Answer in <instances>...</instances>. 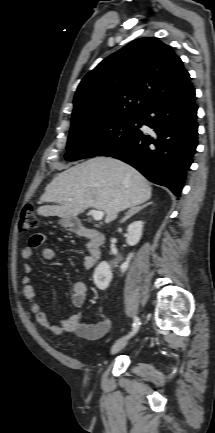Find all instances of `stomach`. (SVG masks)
<instances>
[{"instance_id": "stomach-1", "label": "stomach", "mask_w": 215, "mask_h": 433, "mask_svg": "<svg viewBox=\"0 0 215 433\" xmlns=\"http://www.w3.org/2000/svg\"><path fill=\"white\" fill-rule=\"evenodd\" d=\"M59 223L67 230H72L74 228L73 219H61Z\"/></svg>"}]
</instances>
